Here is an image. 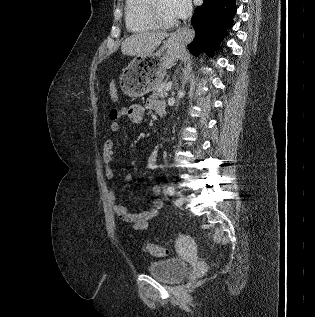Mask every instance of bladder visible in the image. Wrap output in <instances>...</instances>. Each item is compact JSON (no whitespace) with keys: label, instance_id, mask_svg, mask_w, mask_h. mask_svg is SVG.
Here are the masks:
<instances>
[{"label":"bladder","instance_id":"31cf9c89","mask_svg":"<svg viewBox=\"0 0 315 317\" xmlns=\"http://www.w3.org/2000/svg\"><path fill=\"white\" fill-rule=\"evenodd\" d=\"M147 271L163 282L176 283L186 276L187 264L180 258H168L151 262Z\"/></svg>","mask_w":315,"mask_h":317}]
</instances>
